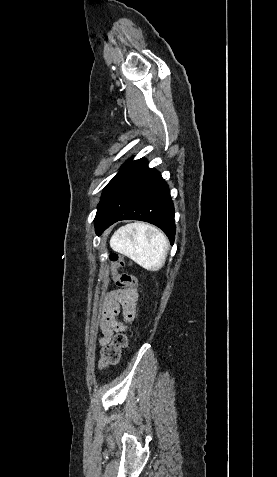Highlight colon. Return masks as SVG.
Instances as JSON below:
<instances>
[{
	"label": "colon",
	"instance_id": "colon-1",
	"mask_svg": "<svg viewBox=\"0 0 277 477\" xmlns=\"http://www.w3.org/2000/svg\"><path fill=\"white\" fill-rule=\"evenodd\" d=\"M110 263L113 273V278L119 287L131 286V291H137V280L134 276L125 273H119V269L124 266L125 260L119 254H112L110 256ZM121 310L124 308L122 305L119 307ZM116 320L120 319L119 315L115 316ZM128 344V338L123 333L113 335L111 341L105 345L101 350V358L98 363L100 369L109 365H115L120 358L121 350L126 348Z\"/></svg>",
	"mask_w": 277,
	"mask_h": 477
}]
</instances>
